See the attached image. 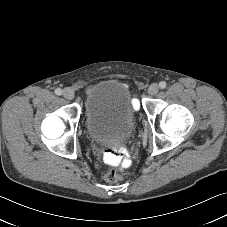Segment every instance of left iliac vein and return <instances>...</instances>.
<instances>
[{
    "instance_id": "4c4485c4",
    "label": "left iliac vein",
    "mask_w": 227,
    "mask_h": 227,
    "mask_svg": "<svg viewBox=\"0 0 227 227\" xmlns=\"http://www.w3.org/2000/svg\"><path fill=\"white\" fill-rule=\"evenodd\" d=\"M159 91V86L158 84L154 83V84H151L148 88V93L150 95H156Z\"/></svg>"
}]
</instances>
